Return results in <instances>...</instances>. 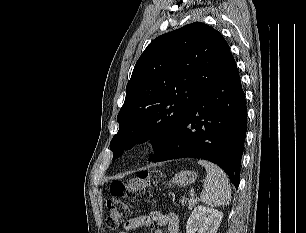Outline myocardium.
Returning <instances> with one entry per match:
<instances>
[{
	"label": "myocardium",
	"mask_w": 306,
	"mask_h": 233,
	"mask_svg": "<svg viewBox=\"0 0 306 233\" xmlns=\"http://www.w3.org/2000/svg\"><path fill=\"white\" fill-rule=\"evenodd\" d=\"M153 147V137L152 136H143L137 142L136 148L140 152H147Z\"/></svg>",
	"instance_id": "myocardium-1"
}]
</instances>
